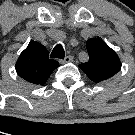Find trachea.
I'll list each match as a JSON object with an SVG mask.
<instances>
[{
	"label": "trachea",
	"mask_w": 135,
	"mask_h": 135,
	"mask_svg": "<svg viewBox=\"0 0 135 135\" xmlns=\"http://www.w3.org/2000/svg\"><path fill=\"white\" fill-rule=\"evenodd\" d=\"M51 58H59V59H64L65 57V51L64 48L61 44H58L54 47L51 53Z\"/></svg>",
	"instance_id": "trachea-1"
}]
</instances>
